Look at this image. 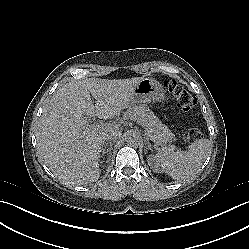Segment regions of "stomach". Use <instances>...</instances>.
Returning <instances> with one entry per match:
<instances>
[{
    "instance_id": "0dacf381",
    "label": "stomach",
    "mask_w": 249,
    "mask_h": 249,
    "mask_svg": "<svg viewBox=\"0 0 249 249\" xmlns=\"http://www.w3.org/2000/svg\"><path fill=\"white\" fill-rule=\"evenodd\" d=\"M166 100L162 86L152 78H144L135 85L131 98V104L163 102Z\"/></svg>"
}]
</instances>
